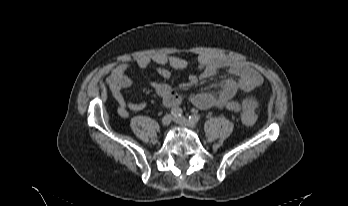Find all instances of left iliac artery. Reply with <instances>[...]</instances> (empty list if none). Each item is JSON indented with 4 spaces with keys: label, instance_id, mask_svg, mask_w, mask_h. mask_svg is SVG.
Returning <instances> with one entry per match:
<instances>
[{
    "label": "left iliac artery",
    "instance_id": "1",
    "mask_svg": "<svg viewBox=\"0 0 348 206\" xmlns=\"http://www.w3.org/2000/svg\"><path fill=\"white\" fill-rule=\"evenodd\" d=\"M189 120H190L192 123H197V122L200 120V115H198V114H193V115L189 116Z\"/></svg>",
    "mask_w": 348,
    "mask_h": 206
}]
</instances>
